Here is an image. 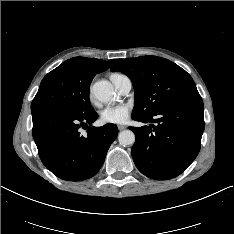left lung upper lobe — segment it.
<instances>
[{
	"label": "left lung upper lobe",
	"mask_w": 234,
	"mask_h": 234,
	"mask_svg": "<svg viewBox=\"0 0 234 234\" xmlns=\"http://www.w3.org/2000/svg\"><path fill=\"white\" fill-rule=\"evenodd\" d=\"M112 71L127 75L135 89L133 118H144L183 99L199 95L191 76L157 56L117 59Z\"/></svg>",
	"instance_id": "left-lung-upper-lobe-1"
}]
</instances>
